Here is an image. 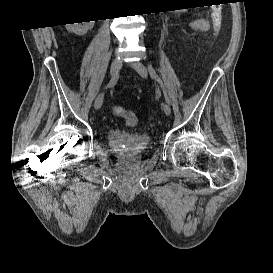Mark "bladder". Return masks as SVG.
Instances as JSON below:
<instances>
[{"label":"bladder","mask_w":273,"mask_h":273,"mask_svg":"<svg viewBox=\"0 0 273 273\" xmlns=\"http://www.w3.org/2000/svg\"><path fill=\"white\" fill-rule=\"evenodd\" d=\"M110 152L123 161H133L141 157L150 146V137L146 134L110 129L106 134Z\"/></svg>","instance_id":"obj_1"}]
</instances>
